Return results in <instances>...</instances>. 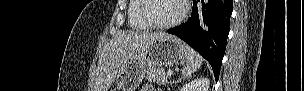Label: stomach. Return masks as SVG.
Here are the masks:
<instances>
[{
	"label": "stomach",
	"mask_w": 304,
	"mask_h": 91,
	"mask_svg": "<svg viewBox=\"0 0 304 91\" xmlns=\"http://www.w3.org/2000/svg\"><path fill=\"white\" fill-rule=\"evenodd\" d=\"M189 47L172 35L156 38L144 51L126 59L120 66L116 84L120 91H135L145 76L147 66L161 67L188 61Z\"/></svg>",
	"instance_id": "obj_1"
}]
</instances>
